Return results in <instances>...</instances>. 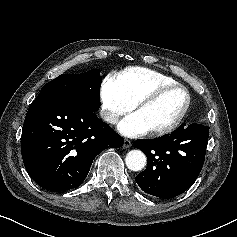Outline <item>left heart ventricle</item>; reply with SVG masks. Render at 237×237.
<instances>
[{
	"label": "left heart ventricle",
	"instance_id": "1",
	"mask_svg": "<svg viewBox=\"0 0 237 237\" xmlns=\"http://www.w3.org/2000/svg\"><path fill=\"white\" fill-rule=\"evenodd\" d=\"M185 102L184 91L175 89L164 93L154 102L137 110L136 113L149 131L170 124L182 110Z\"/></svg>",
	"mask_w": 237,
	"mask_h": 237
}]
</instances>
